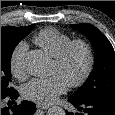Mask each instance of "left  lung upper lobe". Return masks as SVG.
Segmentation results:
<instances>
[{"label":"left lung upper lobe","instance_id":"5c2ea615","mask_svg":"<svg viewBox=\"0 0 115 115\" xmlns=\"http://www.w3.org/2000/svg\"><path fill=\"white\" fill-rule=\"evenodd\" d=\"M83 33L95 51L92 73L85 83L69 98L78 103L95 100L115 101V52L108 39L93 25L72 24Z\"/></svg>","mask_w":115,"mask_h":115}]
</instances>
